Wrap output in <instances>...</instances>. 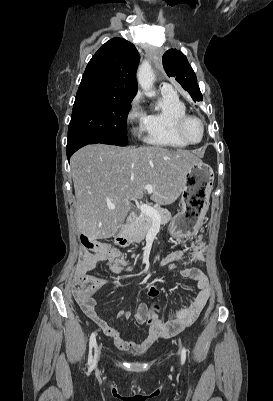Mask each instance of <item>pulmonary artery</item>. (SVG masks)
<instances>
[{"mask_svg":"<svg viewBox=\"0 0 273 401\" xmlns=\"http://www.w3.org/2000/svg\"><path fill=\"white\" fill-rule=\"evenodd\" d=\"M162 91H163L164 93L173 94V93H175L176 88H175V86H173V85H168V86H164V87L162 88Z\"/></svg>","mask_w":273,"mask_h":401,"instance_id":"e3ab8cb5","label":"pulmonary artery"}]
</instances>
